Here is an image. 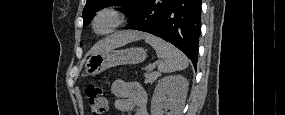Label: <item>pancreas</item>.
<instances>
[{
  "label": "pancreas",
  "instance_id": "1",
  "mask_svg": "<svg viewBox=\"0 0 285 115\" xmlns=\"http://www.w3.org/2000/svg\"><path fill=\"white\" fill-rule=\"evenodd\" d=\"M145 84H152L158 77L161 76L160 72H146L145 73Z\"/></svg>",
  "mask_w": 285,
  "mask_h": 115
}]
</instances>
